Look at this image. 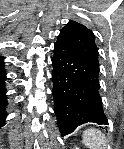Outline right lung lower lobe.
I'll return each instance as SVG.
<instances>
[{
    "instance_id": "right-lung-lower-lobe-1",
    "label": "right lung lower lobe",
    "mask_w": 124,
    "mask_h": 149,
    "mask_svg": "<svg viewBox=\"0 0 124 149\" xmlns=\"http://www.w3.org/2000/svg\"><path fill=\"white\" fill-rule=\"evenodd\" d=\"M6 79V73L3 69V60L0 58V127L4 124L6 113L4 111L5 106L7 105V96L4 86V81Z\"/></svg>"
}]
</instances>
